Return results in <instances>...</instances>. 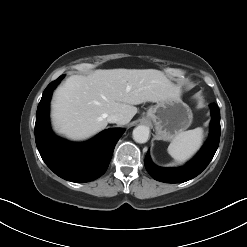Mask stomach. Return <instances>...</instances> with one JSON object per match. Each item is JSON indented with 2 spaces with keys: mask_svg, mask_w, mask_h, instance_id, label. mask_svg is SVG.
Instances as JSON below:
<instances>
[{
  "mask_svg": "<svg viewBox=\"0 0 247 247\" xmlns=\"http://www.w3.org/2000/svg\"><path fill=\"white\" fill-rule=\"evenodd\" d=\"M192 111L180 96L157 102L151 106L146 119L151 121L159 139L170 141L178 133L186 130L192 123Z\"/></svg>",
  "mask_w": 247,
  "mask_h": 247,
  "instance_id": "obj_1",
  "label": "stomach"
}]
</instances>
